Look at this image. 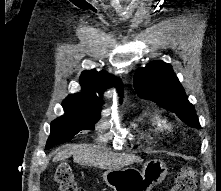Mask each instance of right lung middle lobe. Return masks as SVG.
<instances>
[{
	"mask_svg": "<svg viewBox=\"0 0 221 191\" xmlns=\"http://www.w3.org/2000/svg\"><path fill=\"white\" fill-rule=\"evenodd\" d=\"M64 111L63 116L51 122L46 149L71 140L81 130H92L100 118V113L66 109Z\"/></svg>",
	"mask_w": 221,
	"mask_h": 191,
	"instance_id": "dd1d6c3e",
	"label": "right lung middle lobe"
}]
</instances>
